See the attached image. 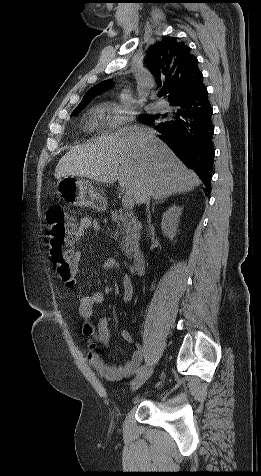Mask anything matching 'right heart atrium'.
<instances>
[{
	"instance_id": "obj_1",
	"label": "right heart atrium",
	"mask_w": 261,
	"mask_h": 476,
	"mask_svg": "<svg viewBox=\"0 0 261 476\" xmlns=\"http://www.w3.org/2000/svg\"><path fill=\"white\" fill-rule=\"evenodd\" d=\"M108 112V125L110 128H118L131 123L135 119L136 112L126 105L109 103L105 106Z\"/></svg>"
}]
</instances>
